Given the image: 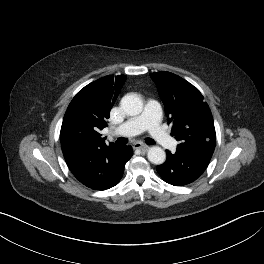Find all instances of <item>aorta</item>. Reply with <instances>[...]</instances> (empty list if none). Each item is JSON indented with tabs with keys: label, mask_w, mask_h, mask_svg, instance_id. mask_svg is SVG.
<instances>
[{
	"label": "aorta",
	"mask_w": 264,
	"mask_h": 264,
	"mask_svg": "<svg viewBox=\"0 0 264 264\" xmlns=\"http://www.w3.org/2000/svg\"><path fill=\"white\" fill-rule=\"evenodd\" d=\"M121 107L130 116L139 115L143 109V102L136 94H127L121 99ZM148 160L156 165L163 164L166 159L165 151L158 146H153L148 150Z\"/></svg>",
	"instance_id": "1"
}]
</instances>
